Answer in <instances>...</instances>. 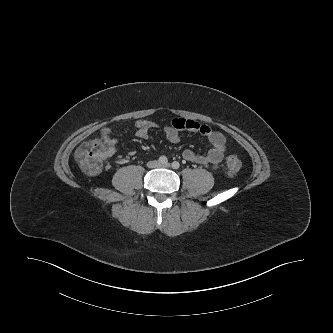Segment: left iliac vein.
Segmentation results:
<instances>
[{
    "mask_svg": "<svg viewBox=\"0 0 333 333\" xmlns=\"http://www.w3.org/2000/svg\"><path fill=\"white\" fill-rule=\"evenodd\" d=\"M161 167H166V168H168V167H170V164L169 163H167V164H162V165H160Z\"/></svg>",
    "mask_w": 333,
    "mask_h": 333,
    "instance_id": "obj_1",
    "label": "left iliac vein"
}]
</instances>
